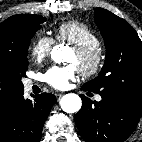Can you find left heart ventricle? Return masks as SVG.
Instances as JSON below:
<instances>
[{"instance_id":"b2bd125f","label":"left heart ventricle","mask_w":142,"mask_h":142,"mask_svg":"<svg viewBox=\"0 0 142 142\" xmlns=\"http://www.w3.org/2000/svg\"><path fill=\"white\" fill-rule=\"evenodd\" d=\"M68 61L75 64L76 66L78 65L79 60L75 52H72V54L68 58Z\"/></svg>"}]
</instances>
